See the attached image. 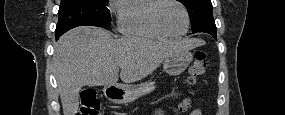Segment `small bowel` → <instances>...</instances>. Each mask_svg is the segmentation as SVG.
<instances>
[{"label": "small bowel", "instance_id": "1", "mask_svg": "<svg viewBox=\"0 0 285 115\" xmlns=\"http://www.w3.org/2000/svg\"><path fill=\"white\" fill-rule=\"evenodd\" d=\"M154 114L155 115H163L165 113H164L163 108L159 106V107L155 108ZM191 115H202V111L200 109H195L194 111L191 112Z\"/></svg>", "mask_w": 285, "mask_h": 115}]
</instances>
